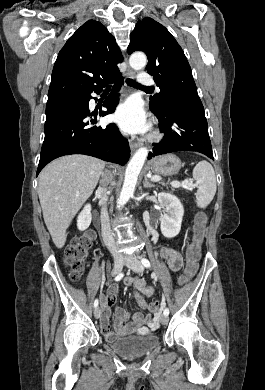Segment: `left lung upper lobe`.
Here are the masks:
<instances>
[{
	"label": "left lung upper lobe",
	"instance_id": "5c2ea615",
	"mask_svg": "<svg viewBox=\"0 0 265 390\" xmlns=\"http://www.w3.org/2000/svg\"><path fill=\"white\" fill-rule=\"evenodd\" d=\"M127 51L129 54L144 51L148 56L146 70L160 88L159 93L150 97L151 108L162 111L169 97L198 94L182 48L170 32L152 18L137 22Z\"/></svg>",
	"mask_w": 265,
	"mask_h": 390
}]
</instances>
